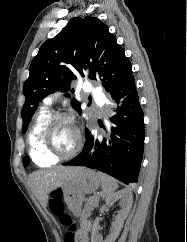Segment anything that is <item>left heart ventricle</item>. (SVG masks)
Listing matches in <instances>:
<instances>
[{
	"instance_id": "left-heart-ventricle-1",
	"label": "left heart ventricle",
	"mask_w": 187,
	"mask_h": 242,
	"mask_svg": "<svg viewBox=\"0 0 187 242\" xmlns=\"http://www.w3.org/2000/svg\"><path fill=\"white\" fill-rule=\"evenodd\" d=\"M76 144V132L74 127L66 122H58L50 135V146L58 153H67Z\"/></svg>"
}]
</instances>
